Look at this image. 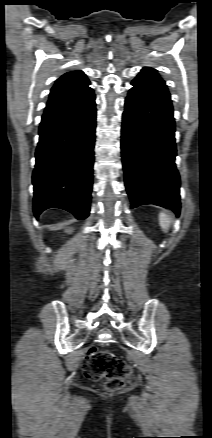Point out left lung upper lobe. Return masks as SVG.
Returning a JSON list of instances; mask_svg holds the SVG:
<instances>
[{
    "instance_id": "5c2ea615",
    "label": "left lung upper lobe",
    "mask_w": 212,
    "mask_h": 438,
    "mask_svg": "<svg viewBox=\"0 0 212 438\" xmlns=\"http://www.w3.org/2000/svg\"><path fill=\"white\" fill-rule=\"evenodd\" d=\"M137 77L152 79L165 84V82L157 74L156 70L150 67H144L141 70V73Z\"/></svg>"
}]
</instances>
